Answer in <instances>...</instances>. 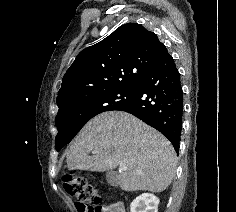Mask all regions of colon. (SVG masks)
<instances>
[{
	"label": "colon",
	"instance_id": "colon-1",
	"mask_svg": "<svg viewBox=\"0 0 236 212\" xmlns=\"http://www.w3.org/2000/svg\"><path fill=\"white\" fill-rule=\"evenodd\" d=\"M66 191L72 195L78 203L81 212H104L100 205V196L96 187L84 176L66 175L63 178Z\"/></svg>",
	"mask_w": 236,
	"mask_h": 212
}]
</instances>
